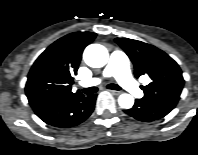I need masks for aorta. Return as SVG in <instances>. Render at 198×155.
<instances>
[{
  "mask_svg": "<svg viewBox=\"0 0 198 155\" xmlns=\"http://www.w3.org/2000/svg\"><path fill=\"white\" fill-rule=\"evenodd\" d=\"M83 59L88 66L101 68L107 64L109 54L103 45L90 44L84 50ZM118 104L121 108L130 109L134 105V98L130 94L123 93L118 98Z\"/></svg>",
  "mask_w": 198,
  "mask_h": 155,
  "instance_id": "762f6f07",
  "label": "aorta"
}]
</instances>
